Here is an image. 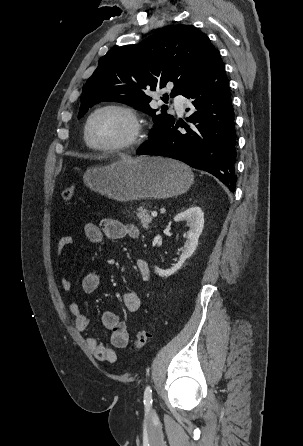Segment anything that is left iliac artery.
Here are the masks:
<instances>
[{
	"label": "left iliac artery",
	"mask_w": 303,
	"mask_h": 446,
	"mask_svg": "<svg viewBox=\"0 0 303 446\" xmlns=\"http://www.w3.org/2000/svg\"><path fill=\"white\" fill-rule=\"evenodd\" d=\"M144 405L147 410L152 406V389L150 386H147L144 391Z\"/></svg>",
	"instance_id": "obj_1"
}]
</instances>
